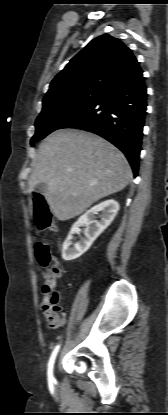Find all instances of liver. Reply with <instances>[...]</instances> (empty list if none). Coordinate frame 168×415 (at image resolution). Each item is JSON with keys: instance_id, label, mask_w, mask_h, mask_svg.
<instances>
[{"instance_id": "obj_1", "label": "liver", "mask_w": 168, "mask_h": 415, "mask_svg": "<svg viewBox=\"0 0 168 415\" xmlns=\"http://www.w3.org/2000/svg\"><path fill=\"white\" fill-rule=\"evenodd\" d=\"M132 179L124 154L90 132L57 130L39 146L29 178V192L47 185L46 201L54 216L66 221L83 213L101 198L123 190Z\"/></svg>"}]
</instances>
